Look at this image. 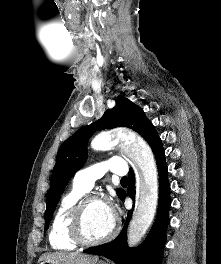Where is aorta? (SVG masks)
<instances>
[{
  "instance_id": "762f6f07",
  "label": "aorta",
  "mask_w": 221,
  "mask_h": 264,
  "mask_svg": "<svg viewBox=\"0 0 221 264\" xmlns=\"http://www.w3.org/2000/svg\"><path fill=\"white\" fill-rule=\"evenodd\" d=\"M120 144L125 154L139 170L136 194L137 206L129 224L127 242L136 246L149 229L156 213L158 202V173L151 148L137 136L110 133L98 134L91 142L95 150H109Z\"/></svg>"
}]
</instances>
